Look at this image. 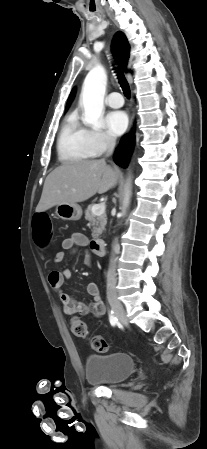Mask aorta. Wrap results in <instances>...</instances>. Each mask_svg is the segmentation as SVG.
<instances>
[{"instance_id": "aorta-1", "label": "aorta", "mask_w": 207, "mask_h": 449, "mask_svg": "<svg viewBox=\"0 0 207 449\" xmlns=\"http://www.w3.org/2000/svg\"><path fill=\"white\" fill-rule=\"evenodd\" d=\"M107 75L102 66L94 67L86 76L82 87L84 106L83 122L95 128L101 126L103 99L106 90Z\"/></svg>"}]
</instances>
